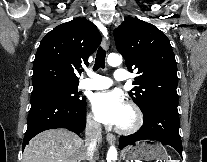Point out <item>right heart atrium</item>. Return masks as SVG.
I'll use <instances>...</instances> for the list:
<instances>
[{"mask_svg":"<svg viewBox=\"0 0 207 162\" xmlns=\"http://www.w3.org/2000/svg\"><path fill=\"white\" fill-rule=\"evenodd\" d=\"M87 121H88V123L91 126L98 127V122H97L96 118L92 114L88 115Z\"/></svg>","mask_w":207,"mask_h":162,"instance_id":"right-heart-atrium-1","label":"right heart atrium"}]
</instances>
